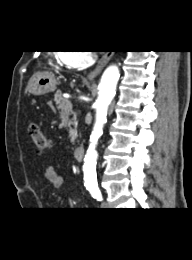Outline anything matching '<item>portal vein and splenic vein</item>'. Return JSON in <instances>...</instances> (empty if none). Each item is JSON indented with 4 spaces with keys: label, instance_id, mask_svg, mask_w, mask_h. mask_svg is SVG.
Segmentation results:
<instances>
[{
    "label": "portal vein and splenic vein",
    "instance_id": "18ae733b",
    "mask_svg": "<svg viewBox=\"0 0 192 260\" xmlns=\"http://www.w3.org/2000/svg\"><path fill=\"white\" fill-rule=\"evenodd\" d=\"M66 108L67 109H72V103L69 100L66 103Z\"/></svg>",
    "mask_w": 192,
    "mask_h": 260
}]
</instances>
